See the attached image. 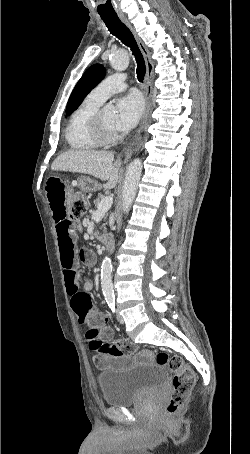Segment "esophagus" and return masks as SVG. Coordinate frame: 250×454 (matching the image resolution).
<instances>
[{
  "mask_svg": "<svg viewBox=\"0 0 250 454\" xmlns=\"http://www.w3.org/2000/svg\"><path fill=\"white\" fill-rule=\"evenodd\" d=\"M120 19L122 22L133 32L135 39L139 45L140 50L142 51V54L144 56L145 62H146V75H145V101H146V110L144 113L143 117V122L141 124V127L139 129V132L143 129L144 125L146 124V121L150 115L151 112V96H152V80H153V63L150 59V53L148 48L145 46L143 41L138 37V35L134 32V29L128 22L125 16L120 15ZM127 155H131V153H128Z\"/></svg>",
  "mask_w": 250,
  "mask_h": 454,
  "instance_id": "obj_1",
  "label": "esophagus"
}]
</instances>
